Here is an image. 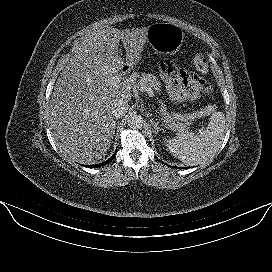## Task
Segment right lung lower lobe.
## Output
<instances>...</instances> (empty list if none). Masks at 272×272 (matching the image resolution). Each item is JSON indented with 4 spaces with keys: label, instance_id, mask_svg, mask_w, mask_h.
Instances as JSON below:
<instances>
[{
    "label": "right lung lower lobe",
    "instance_id": "1",
    "mask_svg": "<svg viewBox=\"0 0 272 272\" xmlns=\"http://www.w3.org/2000/svg\"><path fill=\"white\" fill-rule=\"evenodd\" d=\"M115 154L110 159H108L106 162H104V163H101V164H98V165H90V166L87 165V167H101V166H104V165L108 164L110 161H112V159L115 157Z\"/></svg>",
    "mask_w": 272,
    "mask_h": 272
}]
</instances>
